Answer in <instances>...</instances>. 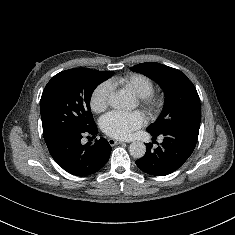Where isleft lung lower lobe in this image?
<instances>
[{"instance_id": "left-lung-lower-lobe-1", "label": "left lung lower lobe", "mask_w": 235, "mask_h": 235, "mask_svg": "<svg viewBox=\"0 0 235 235\" xmlns=\"http://www.w3.org/2000/svg\"><path fill=\"white\" fill-rule=\"evenodd\" d=\"M150 133L153 138L158 136ZM198 134V130L189 128L162 133L161 135L164 136L162 144L153 149L152 144L148 143L145 156L136 161L137 166L143 172L155 176H164L174 172L192 154Z\"/></svg>"}]
</instances>
